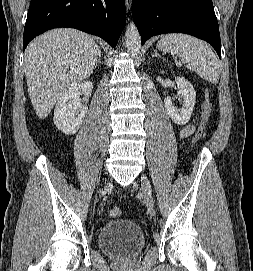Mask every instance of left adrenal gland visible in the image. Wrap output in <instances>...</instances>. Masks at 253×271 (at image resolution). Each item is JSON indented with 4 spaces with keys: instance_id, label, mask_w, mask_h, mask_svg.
Segmentation results:
<instances>
[{
    "instance_id": "1",
    "label": "left adrenal gland",
    "mask_w": 253,
    "mask_h": 271,
    "mask_svg": "<svg viewBox=\"0 0 253 271\" xmlns=\"http://www.w3.org/2000/svg\"><path fill=\"white\" fill-rule=\"evenodd\" d=\"M153 57H161V56L158 54V52H157L156 50H154V55H153Z\"/></svg>"
}]
</instances>
